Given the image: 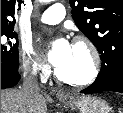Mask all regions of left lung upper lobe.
<instances>
[{"mask_svg": "<svg viewBox=\"0 0 123 113\" xmlns=\"http://www.w3.org/2000/svg\"><path fill=\"white\" fill-rule=\"evenodd\" d=\"M77 27L101 54L98 78L112 80L123 67V0H70Z\"/></svg>", "mask_w": 123, "mask_h": 113, "instance_id": "1", "label": "left lung upper lobe"}]
</instances>
